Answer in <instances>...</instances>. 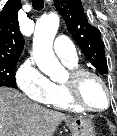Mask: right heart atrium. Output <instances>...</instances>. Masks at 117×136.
<instances>
[{
	"label": "right heart atrium",
	"instance_id": "obj_1",
	"mask_svg": "<svg viewBox=\"0 0 117 136\" xmlns=\"http://www.w3.org/2000/svg\"><path fill=\"white\" fill-rule=\"evenodd\" d=\"M16 83L24 96L42 104H48L54 83L28 59L16 72Z\"/></svg>",
	"mask_w": 117,
	"mask_h": 136
}]
</instances>
